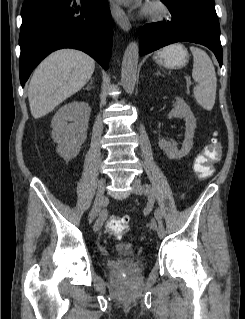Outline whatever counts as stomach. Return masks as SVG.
<instances>
[{
  "label": "stomach",
  "mask_w": 245,
  "mask_h": 319,
  "mask_svg": "<svg viewBox=\"0 0 245 319\" xmlns=\"http://www.w3.org/2000/svg\"><path fill=\"white\" fill-rule=\"evenodd\" d=\"M154 60L169 69L184 67L188 62V52L181 44H172L158 51Z\"/></svg>",
  "instance_id": "1"
}]
</instances>
